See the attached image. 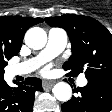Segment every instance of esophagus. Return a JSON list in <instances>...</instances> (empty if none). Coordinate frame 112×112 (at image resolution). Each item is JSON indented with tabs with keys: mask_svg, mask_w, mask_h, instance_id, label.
I'll list each match as a JSON object with an SVG mask.
<instances>
[{
	"mask_svg": "<svg viewBox=\"0 0 112 112\" xmlns=\"http://www.w3.org/2000/svg\"><path fill=\"white\" fill-rule=\"evenodd\" d=\"M54 84H55V81L53 80H43L42 87L44 89H51Z\"/></svg>",
	"mask_w": 112,
	"mask_h": 112,
	"instance_id": "34e87169",
	"label": "esophagus"
}]
</instances>
